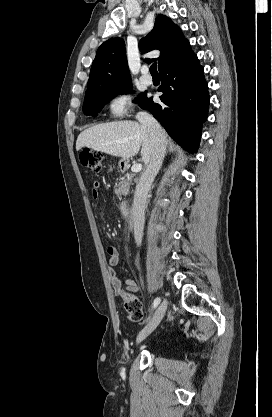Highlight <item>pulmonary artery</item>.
<instances>
[{"label": "pulmonary artery", "mask_w": 272, "mask_h": 417, "mask_svg": "<svg viewBox=\"0 0 272 417\" xmlns=\"http://www.w3.org/2000/svg\"><path fill=\"white\" fill-rule=\"evenodd\" d=\"M141 81H142L144 84H146V85H150V84H152V78H151V76H149V75L147 74V70H144V71H143V74H142V76H141Z\"/></svg>", "instance_id": "e3ab8cb5"}]
</instances>
